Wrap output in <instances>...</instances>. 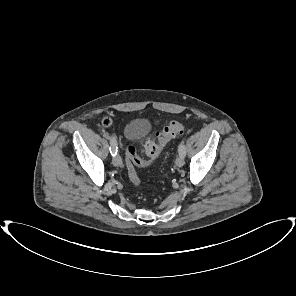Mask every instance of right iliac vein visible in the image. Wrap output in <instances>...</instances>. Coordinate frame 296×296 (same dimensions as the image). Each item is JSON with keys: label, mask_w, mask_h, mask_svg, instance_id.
<instances>
[{"label": "right iliac vein", "mask_w": 296, "mask_h": 296, "mask_svg": "<svg viewBox=\"0 0 296 296\" xmlns=\"http://www.w3.org/2000/svg\"><path fill=\"white\" fill-rule=\"evenodd\" d=\"M114 166H120L122 164V159L119 155H115L113 158Z\"/></svg>", "instance_id": "right-iliac-vein-1"}]
</instances>
